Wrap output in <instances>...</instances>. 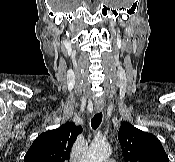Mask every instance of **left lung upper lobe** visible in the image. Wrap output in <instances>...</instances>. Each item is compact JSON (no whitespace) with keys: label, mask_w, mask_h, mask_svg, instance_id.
<instances>
[{"label":"left lung upper lobe","mask_w":175,"mask_h":162,"mask_svg":"<svg viewBox=\"0 0 175 162\" xmlns=\"http://www.w3.org/2000/svg\"><path fill=\"white\" fill-rule=\"evenodd\" d=\"M118 140L126 162H169L158 138L128 122L121 123Z\"/></svg>","instance_id":"1"}]
</instances>
